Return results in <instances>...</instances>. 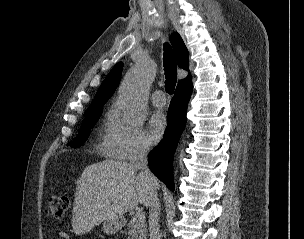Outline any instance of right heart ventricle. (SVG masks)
<instances>
[{"label": "right heart ventricle", "mask_w": 304, "mask_h": 239, "mask_svg": "<svg viewBox=\"0 0 304 239\" xmlns=\"http://www.w3.org/2000/svg\"><path fill=\"white\" fill-rule=\"evenodd\" d=\"M108 123H109V122H108ZM108 123L106 124L105 130H106L107 126H108Z\"/></svg>", "instance_id": "obj_1"}]
</instances>
